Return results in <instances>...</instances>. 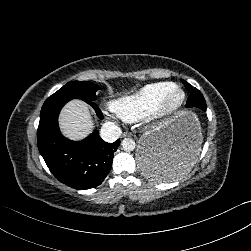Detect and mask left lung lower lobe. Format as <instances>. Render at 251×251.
<instances>
[{"label":"left lung lower lobe","instance_id":"obj_1","mask_svg":"<svg viewBox=\"0 0 251 251\" xmlns=\"http://www.w3.org/2000/svg\"><path fill=\"white\" fill-rule=\"evenodd\" d=\"M188 108L196 107L206 111V106L198 102H187ZM142 170L150 177L162 176L168 167V161L165 158L163 149L157 145H148L141 154Z\"/></svg>","mask_w":251,"mask_h":251}]
</instances>
